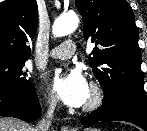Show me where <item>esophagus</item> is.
Masks as SVG:
<instances>
[{
    "label": "esophagus",
    "mask_w": 147,
    "mask_h": 131,
    "mask_svg": "<svg viewBox=\"0 0 147 131\" xmlns=\"http://www.w3.org/2000/svg\"><path fill=\"white\" fill-rule=\"evenodd\" d=\"M61 131H72V130L68 129V127H66V126H63V127H61Z\"/></svg>",
    "instance_id": "esophagus-1"
}]
</instances>
